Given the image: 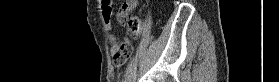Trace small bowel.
<instances>
[{
    "mask_svg": "<svg viewBox=\"0 0 279 82\" xmlns=\"http://www.w3.org/2000/svg\"><path fill=\"white\" fill-rule=\"evenodd\" d=\"M111 16V6L109 4H105L103 8V18L108 28L111 27ZM110 43V54L114 58V66L121 67L128 60L127 58H125L123 49L130 45V43L126 39L120 41L114 35L110 36Z\"/></svg>",
    "mask_w": 279,
    "mask_h": 82,
    "instance_id": "small-bowel-1",
    "label": "small bowel"
}]
</instances>
